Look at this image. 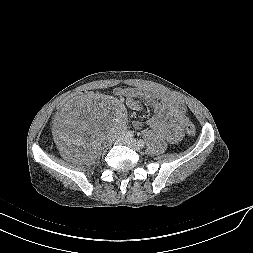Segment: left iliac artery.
Wrapping results in <instances>:
<instances>
[{
  "label": "left iliac artery",
  "instance_id": "left-iliac-artery-1",
  "mask_svg": "<svg viewBox=\"0 0 253 253\" xmlns=\"http://www.w3.org/2000/svg\"><path fill=\"white\" fill-rule=\"evenodd\" d=\"M137 143H138L140 148H143L145 146V142L141 139H139Z\"/></svg>",
  "mask_w": 253,
  "mask_h": 253
}]
</instances>
